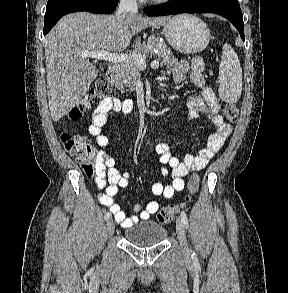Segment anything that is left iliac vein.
<instances>
[{"instance_id":"obj_1","label":"left iliac vein","mask_w":288,"mask_h":293,"mask_svg":"<svg viewBox=\"0 0 288 293\" xmlns=\"http://www.w3.org/2000/svg\"><path fill=\"white\" fill-rule=\"evenodd\" d=\"M176 232H177V237L179 239L180 245L182 252L184 256L188 257L190 254L187 239H186V234H185V229H184V224L181 221V219H177L176 222Z\"/></svg>"}]
</instances>
